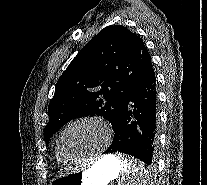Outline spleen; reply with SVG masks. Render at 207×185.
Returning a JSON list of instances; mask_svg holds the SVG:
<instances>
[{
    "label": "spleen",
    "instance_id": "1",
    "mask_svg": "<svg viewBox=\"0 0 207 185\" xmlns=\"http://www.w3.org/2000/svg\"><path fill=\"white\" fill-rule=\"evenodd\" d=\"M119 163L124 174H120V185H146V179H155V174H149L150 166H145L143 159H134L133 153H118Z\"/></svg>",
    "mask_w": 207,
    "mask_h": 185
}]
</instances>
